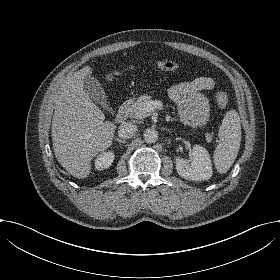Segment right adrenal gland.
I'll return each instance as SVG.
<instances>
[{"label":"right adrenal gland","mask_w":280,"mask_h":280,"mask_svg":"<svg viewBox=\"0 0 280 280\" xmlns=\"http://www.w3.org/2000/svg\"><path fill=\"white\" fill-rule=\"evenodd\" d=\"M114 140L117 141V142L120 143V144H125V143H126L125 140H121V139H119V138H115V137H114Z\"/></svg>","instance_id":"obj_1"}]
</instances>
